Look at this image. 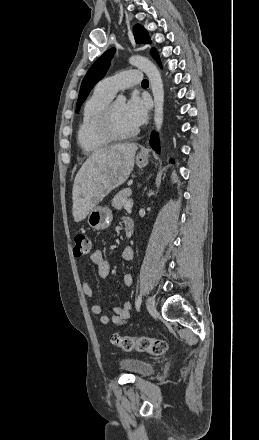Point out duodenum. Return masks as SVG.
<instances>
[{
  "label": "duodenum",
  "instance_id": "1",
  "mask_svg": "<svg viewBox=\"0 0 259 440\" xmlns=\"http://www.w3.org/2000/svg\"><path fill=\"white\" fill-rule=\"evenodd\" d=\"M124 230L127 237H131L134 232V221L130 218L124 220Z\"/></svg>",
  "mask_w": 259,
  "mask_h": 440
}]
</instances>
